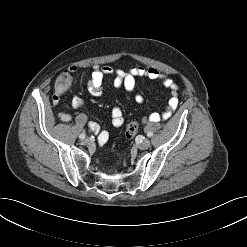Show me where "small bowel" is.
I'll list each match as a JSON object with an SVG mask.
<instances>
[{
	"mask_svg": "<svg viewBox=\"0 0 247 247\" xmlns=\"http://www.w3.org/2000/svg\"><path fill=\"white\" fill-rule=\"evenodd\" d=\"M77 67H69V72L76 73ZM114 75L113 84L117 88H124L127 92L133 93L136 87L137 78H147L150 80H156L161 82L166 88L171 91V96L168 101L167 108L164 112H154L143 119V122H158L161 119H168L175 111L178 105L177 97V85L166 74L160 72L154 67L134 66L128 71L121 69H115L111 66H94L90 78L87 83V91L92 96H100L103 91V80L107 76ZM134 101L137 104L144 102V97L140 93L134 94ZM58 101H55L57 104ZM85 105V100L81 96L73 97L70 106L62 103L61 107L64 110H68L70 107L79 109ZM58 117L63 122H69L71 116L68 113L62 112L58 114ZM112 123L115 127H121L124 123L123 111L120 107L116 106L111 111ZM90 130L98 135L100 144H105L109 139V133L107 130L101 129L97 123L91 122L88 124Z\"/></svg>",
	"mask_w": 247,
	"mask_h": 247,
	"instance_id": "obj_1",
	"label": "small bowel"
}]
</instances>
